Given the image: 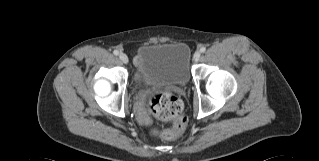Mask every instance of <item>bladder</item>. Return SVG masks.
Returning <instances> with one entry per match:
<instances>
[{
    "instance_id": "bladder-1",
    "label": "bladder",
    "mask_w": 319,
    "mask_h": 161,
    "mask_svg": "<svg viewBox=\"0 0 319 161\" xmlns=\"http://www.w3.org/2000/svg\"><path fill=\"white\" fill-rule=\"evenodd\" d=\"M137 77L145 84L186 85L191 51L185 43H145L135 55Z\"/></svg>"
}]
</instances>
